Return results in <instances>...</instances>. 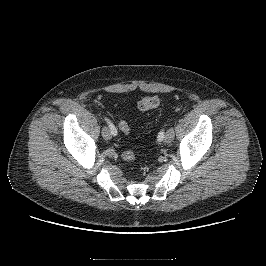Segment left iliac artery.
Wrapping results in <instances>:
<instances>
[{
    "mask_svg": "<svg viewBox=\"0 0 266 266\" xmlns=\"http://www.w3.org/2000/svg\"><path fill=\"white\" fill-rule=\"evenodd\" d=\"M163 138H164V130L159 132L158 140H163Z\"/></svg>",
    "mask_w": 266,
    "mask_h": 266,
    "instance_id": "obj_1",
    "label": "left iliac artery"
}]
</instances>
